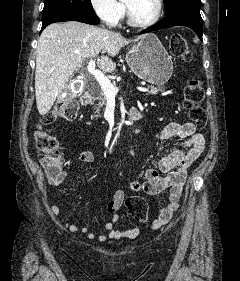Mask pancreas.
<instances>
[{
  "instance_id": "1",
  "label": "pancreas",
  "mask_w": 240,
  "mask_h": 281,
  "mask_svg": "<svg viewBox=\"0 0 240 281\" xmlns=\"http://www.w3.org/2000/svg\"><path fill=\"white\" fill-rule=\"evenodd\" d=\"M160 91H165V87H150L148 94L155 95ZM94 100L97 101V103L94 104V109L96 110V116H98L100 114V110L104 109L106 105V96L101 88L97 90Z\"/></svg>"
}]
</instances>
